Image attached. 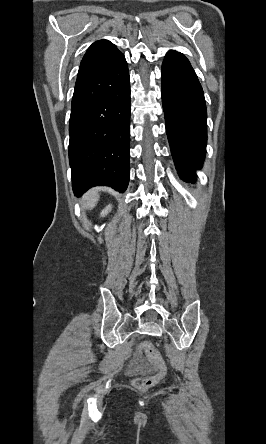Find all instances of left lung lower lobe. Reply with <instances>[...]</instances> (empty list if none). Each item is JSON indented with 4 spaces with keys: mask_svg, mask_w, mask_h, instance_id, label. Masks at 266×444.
Masks as SVG:
<instances>
[{
    "mask_svg": "<svg viewBox=\"0 0 266 444\" xmlns=\"http://www.w3.org/2000/svg\"><path fill=\"white\" fill-rule=\"evenodd\" d=\"M162 104L166 132L176 169L185 182H195L207 142V110L202 87L188 59L168 52L162 64Z\"/></svg>",
    "mask_w": 266,
    "mask_h": 444,
    "instance_id": "0a47b994",
    "label": "left lung lower lobe"
}]
</instances>
